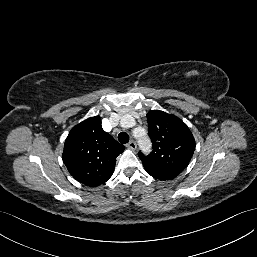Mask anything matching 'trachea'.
Wrapping results in <instances>:
<instances>
[{
  "mask_svg": "<svg viewBox=\"0 0 257 257\" xmlns=\"http://www.w3.org/2000/svg\"><path fill=\"white\" fill-rule=\"evenodd\" d=\"M118 140L122 144H126L129 142V135L126 132H121L118 135Z\"/></svg>",
  "mask_w": 257,
  "mask_h": 257,
  "instance_id": "trachea-1",
  "label": "trachea"
}]
</instances>
